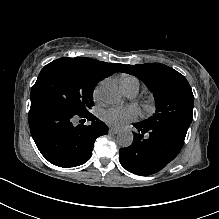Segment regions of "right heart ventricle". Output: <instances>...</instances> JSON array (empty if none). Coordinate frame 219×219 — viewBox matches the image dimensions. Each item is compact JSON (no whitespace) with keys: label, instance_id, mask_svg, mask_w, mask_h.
<instances>
[{"label":"right heart ventricle","instance_id":"right-heart-ventricle-1","mask_svg":"<svg viewBox=\"0 0 219 219\" xmlns=\"http://www.w3.org/2000/svg\"><path fill=\"white\" fill-rule=\"evenodd\" d=\"M141 86L140 80L133 75L123 74L120 77V87L125 93L127 91H139Z\"/></svg>","mask_w":219,"mask_h":219}]
</instances>
